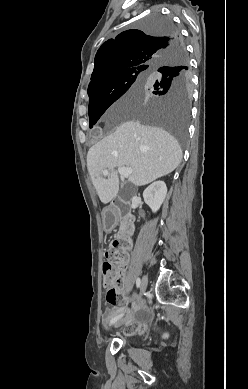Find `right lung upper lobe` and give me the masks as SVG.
<instances>
[{
    "label": "right lung upper lobe",
    "instance_id": "obj_1",
    "mask_svg": "<svg viewBox=\"0 0 248 389\" xmlns=\"http://www.w3.org/2000/svg\"><path fill=\"white\" fill-rule=\"evenodd\" d=\"M179 42L181 39L177 32L156 36L136 29L109 39L96 53L88 93L107 84L116 73L138 68L152 69L178 51Z\"/></svg>",
    "mask_w": 248,
    "mask_h": 389
}]
</instances>
